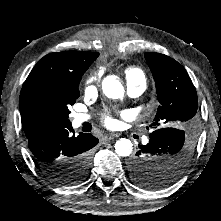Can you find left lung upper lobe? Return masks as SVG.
I'll return each instance as SVG.
<instances>
[{"label":"left lung upper lobe","instance_id":"obj_1","mask_svg":"<svg viewBox=\"0 0 221 221\" xmlns=\"http://www.w3.org/2000/svg\"><path fill=\"white\" fill-rule=\"evenodd\" d=\"M145 58L151 69L158 100L153 126L170 128L175 139L156 144L144 155L146 173L152 170L163 174L157 185L152 187L149 175L134 178L133 181L147 189H159L177 180L187 167L195 145L199 115L197 93L186 70L174 59L159 53L146 52Z\"/></svg>","mask_w":221,"mask_h":221}]
</instances>
